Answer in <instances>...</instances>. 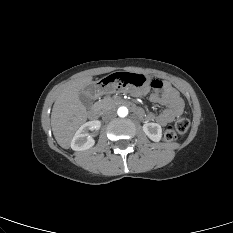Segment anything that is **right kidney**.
Returning a JSON list of instances; mask_svg holds the SVG:
<instances>
[{"label": "right kidney", "instance_id": "1", "mask_svg": "<svg viewBox=\"0 0 233 233\" xmlns=\"http://www.w3.org/2000/svg\"><path fill=\"white\" fill-rule=\"evenodd\" d=\"M99 128V121H89L83 124L75 133L71 141V148L75 151H83L91 148L95 144V140L88 132L98 130Z\"/></svg>", "mask_w": 233, "mask_h": 233}]
</instances>
